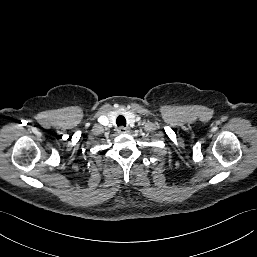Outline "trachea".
<instances>
[{
    "label": "trachea",
    "mask_w": 257,
    "mask_h": 257,
    "mask_svg": "<svg viewBox=\"0 0 257 257\" xmlns=\"http://www.w3.org/2000/svg\"><path fill=\"white\" fill-rule=\"evenodd\" d=\"M116 124H117V126H126V119H125V117L124 116H122V115H119L118 117H117V119H116Z\"/></svg>",
    "instance_id": "1"
}]
</instances>
